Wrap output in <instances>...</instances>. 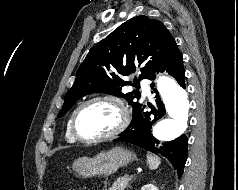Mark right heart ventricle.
I'll return each instance as SVG.
<instances>
[{
	"instance_id": "e07e8e85",
	"label": "right heart ventricle",
	"mask_w": 238,
	"mask_h": 190,
	"mask_svg": "<svg viewBox=\"0 0 238 190\" xmlns=\"http://www.w3.org/2000/svg\"><path fill=\"white\" fill-rule=\"evenodd\" d=\"M70 123H71V120L68 122V125H67L66 139H67V141H69V142H73V141H75V137H74L73 134H72Z\"/></svg>"
}]
</instances>
